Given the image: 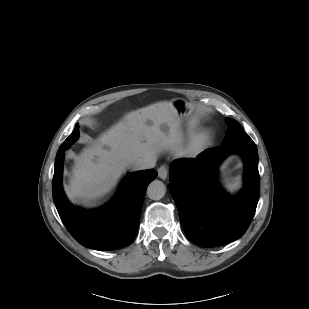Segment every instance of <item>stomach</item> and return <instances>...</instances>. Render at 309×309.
<instances>
[{"mask_svg":"<svg viewBox=\"0 0 309 309\" xmlns=\"http://www.w3.org/2000/svg\"><path fill=\"white\" fill-rule=\"evenodd\" d=\"M174 109L178 114V118L180 121L187 119L193 111L192 104L186 102L183 99H176L172 102Z\"/></svg>","mask_w":309,"mask_h":309,"instance_id":"stomach-1","label":"stomach"}]
</instances>
